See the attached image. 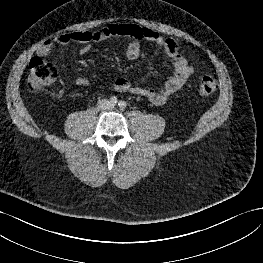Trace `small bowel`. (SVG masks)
<instances>
[{"mask_svg":"<svg viewBox=\"0 0 263 263\" xmlns=\"http://www.w3.org/2000/svg\"><path fill=\"white\" fill-rule=\"evenodd\" d=\"M111 37H123L128 39L127 57L135 60L140 56V43L143 40L152 42L158 49L170 58L173 74L160 89L146 88L133 85L126 78H119L114 82V89L120 93H131L147 98L154 105L165 104L168 99L178 92L193 74L194 68L188 60L180 53L178 43L173 38L162 37L152 29L141 27L132 23L110 24L94 32L77 31L55 36L43 42L38 48L41 56L48 55L55 46L66 45L71 42L81 43V53H86L93 42H100ZM75 83L79 87L89 84L86 77L79 76Z\"/></svg>","mask_w":263,"mask_h":263,"instance_id":"1","label":"small bowel"}]
</instances>
